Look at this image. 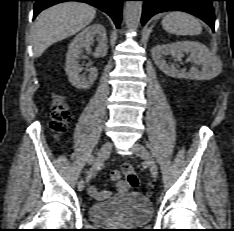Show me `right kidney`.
Listing matches in <instances>:
<instances>
[{
	"label": "right kidney",
	"mask_w": 234,
	"mask_h": 231,
	"mask_svg": "<svg viewBox=\"0 0 234 231\" xmlns=\"http://www.w3.org/2000/svg\"><path fill=\"white\" fill-rule=\"evenodd\" d=\"M94 36H97L99 45L96 47L95 56L104 57L107 54V36L106 29L103 25L96 23L82 30L69 45L66 54L65 71L68 75L70 83L77 89H89L98 75V70L95 67L88 69V77L80 75L83 70L79 65V58L83 48L87 50L93 44Z\"/></svg>",
	"instance_id": "ca27d5eb"
}]
</instances>
